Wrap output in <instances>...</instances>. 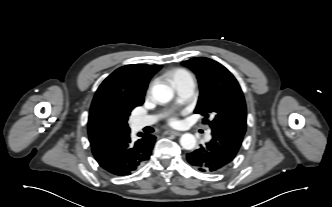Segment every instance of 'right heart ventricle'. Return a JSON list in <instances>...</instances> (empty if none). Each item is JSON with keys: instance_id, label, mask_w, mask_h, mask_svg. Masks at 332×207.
<instances>
[{"instance_id": "1", "label": "right heart ventricle", "mask_w": 332, "mask_h": 207, "mask_svg": "<svg viewBox=\"0 0 332 207\" xmlns=\"http://www.w3.org/2000/svg\"><path fill=\"white\" fill-rule=\"evenodd\" d=\"M167 75L176 90L183 81L192 78L191 74L187 70L181 68L172 70L168 72Z\"/></svg>"}]
</instances>
